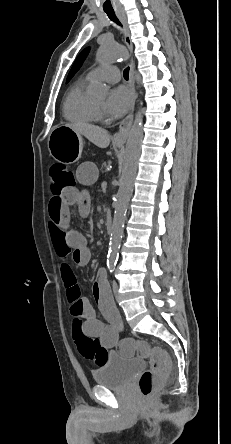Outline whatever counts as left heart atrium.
<instances>
[{
  "label": "left heart atrium",
  "mask_w": 231,
  "mask_h": 444,
  "mask_svg": "<svg viewBox=\"0 0 231 444\" xmlns=\"http://www.w3.org/2000/svg\"><path fill=\"white\" fill-rule=\"evenodd\" d=\"M132 100L133 96L128 88L124 86L115 87L109 93L105 110L115 118L121 117L130 108Z\"/></svg>",
  "instance_id": "left-heart-atrium-1"
}]
</instances>
